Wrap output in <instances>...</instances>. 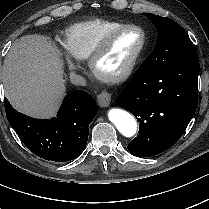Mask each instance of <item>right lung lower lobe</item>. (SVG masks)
Here are the masks:
<instances>
[{
  "label": "right lung lower lobe",
  "instance_id": "1",
  "mask_svg": "<svg viewBox=\"0 0 209 209\" xmlns=\"http://www.w3.org/2000/svg\"><path fill=\"white\" fill-rule=\"evenodd\" d=\"M97 110L94 98L82 90L66 95L57 116L50 120L26 116L5 99L8 122L22 142L35 155L54 162L73 160L83 152Z\"/></svg>",
  "mask_w": 209,
  "mask_h": 209
}]
</instances>
